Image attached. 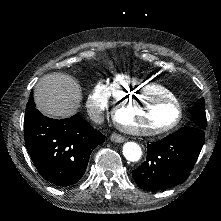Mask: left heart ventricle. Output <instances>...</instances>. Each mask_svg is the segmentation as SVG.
Instances as JSON below:
<instances>
[{"label": "left heart ventricle", "mask_w": 221, "mask_h": 221, "mask_svg": "<svg viewBox=\"0 0 221 221\" xmlns=\"http://www.w3.org/2000/svg\"><path fill=\"white\" fill-rule=\"evenodd\" d=\"M176 116V109L170 103H163L158 105L156 103L150 104L148 107L138 108H121L118 111L117 117L121 123L127 124H143L147 121H154L157 124L160 122H170Z\"/></svg>", "instance_id": "obj_1"}]
</instances>
